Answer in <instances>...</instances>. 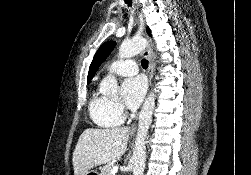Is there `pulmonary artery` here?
I'll list each match as a JSON object with an SVG mask.
<instances>
[{"instance_id":"obj_1","label":"pulmonary artery","mask_w":251,"mask_h":175,"mask_svg":"<svg viewBox=\"0 0 251 175\" xmlns=\"http://www.w3.org/2000/svg\"><path fill=\"white\" fill-rule=\"evenodd\" d=\"M137 72L138 67L135 62H113L107 69L108 74L116 75H130Z\"/></svg>"}]
</instances>
